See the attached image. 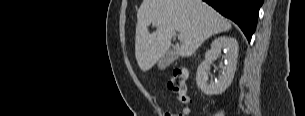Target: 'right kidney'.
<instances>
[{"mask_svg":"<svg viewBox=\"0 0 305 116\" xmlns=\"http://www.w3.org/2000/svg\"><path fill=\"white\" fill-rule=\"evenodd\" d=\"M224 52V65H221L222 75L209 84L207 72L210 63L216 59L221 52ZM238 57V43L233 37L221 36L212 43L210 50L205 54L204 61L199 65L196 73V82L201 91L206 95L220 94L224 92L232 83Z\"/></svg>","mask_w":305,"mask_h":116,"instance_id":"right-kidney-1","label":"right kidney"}]
</instances>
